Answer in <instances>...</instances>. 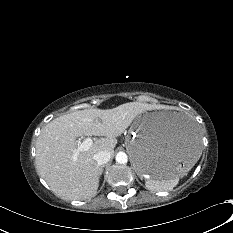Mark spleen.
<instances>
[{
    "instance_id": "1",
    "label": "spleen",
    "mask_w": 233,
    "mask_h": 233,
    "mask_svg": "<svg viewBox=\"0 0 233 233\" xmlns=\"http://www.w3.org/2000/svg\"><path fill=\"white\" fill-rule=\"evenodd\" d=\"M178 181L179 176H175L173 178L168 179H150L146 181V187L152 191L169 190L175 187Z\"/></svg>"
}]
</instances>
